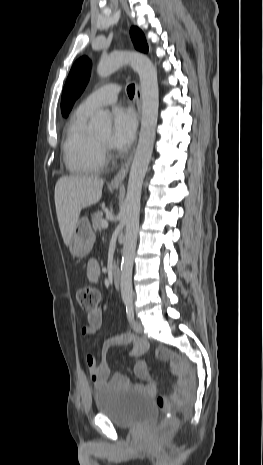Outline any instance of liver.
<instances>
[{
	"label": "liver",
	"instance_id": "1",
	"mask_svg": "<svg viewBox=\"0 0 263 465\" xmlns=\"http://www.w3.org/2000/svg\"><path fill=\"white\" fill-rule=\"evenodd\" d=\"M104 180L97 176H63L55 185V206L65 245H69L81 210L98 203Z\"/></svg>",
	"mask_w": 263,
	"mask_h": 465
}]
</instances>
